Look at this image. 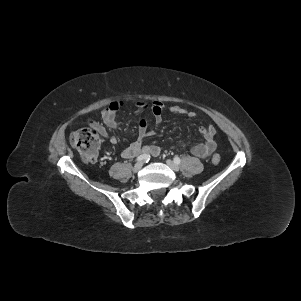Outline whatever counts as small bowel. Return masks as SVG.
<instances>
[{
  "mask_svg": "<svg viewBox=\"0 0 301 301\" xmlns=\"http://www.w3.org/2000/svg\"><path fill=\"white\" fill-rule=\"evenodd\" d=\"M123 103L121 101H113L107 107H105L100 114L101 122L89 120L90 126L96 130L98 134L109 139L110 143L117 144V138L109 134V129H115L118 126L117 113L122 108ZM135 107L139 110L150 108L153 114V120L155 124H159L162 121V114L164 105L161 102H146L140 101L135 104ZM170 112L178 115H186L189 118L196 116V113L192 110H187L181 106L175 105L170 107ZM200 135L204 138V142L195 145L191 152L193 155L199 158H206L211 155L216 149L215 134L216 130L213 125L201 126L199 128ZM154 132L149 130L146 119H141L138 127V138L129 146L124 148L121 155L125 159L134 157L135 155L146 152L152 156H158L160 154V148L156 145H144L146 138L152 137Z\"/></svg>",
  "mask_w": 301,
  "mask_h": 301,
  "instance_id": "1",
  "label": "small bowel"
}]
</instances>
